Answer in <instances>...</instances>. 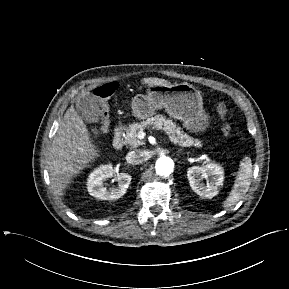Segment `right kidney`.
I'll use <instances>...</instances> for the list:
<instances>
[{"instance_id": "1", "label": "right kidney", "mask_w": 289, "mask_h": 289, "mask_svg": "<svg viewBox=\"0 0 289 289\" xmlns=\"http://www.w3.org/2000/svg\"><path fill=\"white\" fill-rule=\"evenodd\" d=\"M114 176L111 164L102 165L90 173L87 179V189L91 196L101 200H116L123 196L131 182V176L127 173H118L115 180L117 187L107 189L104 182Z\"/></svg>"}]
</instances>
